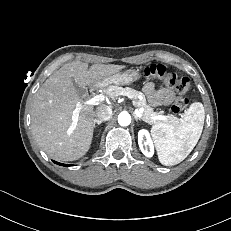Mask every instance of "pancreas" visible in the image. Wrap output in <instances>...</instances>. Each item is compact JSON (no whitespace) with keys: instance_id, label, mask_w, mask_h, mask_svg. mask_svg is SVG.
<instances>
[{"instance_id":"cf45deb5","label":"pancreas","mask_w":231,"mask_h":231,"mask_svg":"<svg viewBox=\"0 0 231 231\" xmlns=\"http://www.w3.org/2000/svg\"><path fill=\"white\" fill-rule=\"evenodd\" d=\"M103 92L111 98H117L118 96L124 95L135 99V106L143 109V112L141 113L142 120L149 124H158L161 122L173 124L176 122V117L173 115H167L165 116V119H154L153 117L160 115V113L154 112L153 109L147 105L145 98L139 99V96H142V93L137 90L129 87L122 88L117 85H109L106 88H103Z\"/></svg>"}]
</instances>
